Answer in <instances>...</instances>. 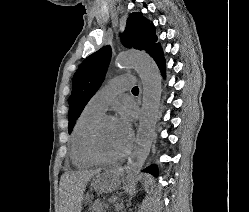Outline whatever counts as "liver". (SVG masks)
Listing matches in <instances>:
<instances>
[{
	"instance_id": "obj_1",
	"label": "liver",
	"mask_w": 249,
	"mask_h": 212,
	"mask_svg": "<svg viewBox=\"0 0 249 212\" xmlns=\"http://www.w3.org/2000/svg\"><path fill=\"white\" fill-rule=\"evenodd\" d=\"M99 170H80V172H68L65 174L67 182V212H81L84 200L85 188L92 178H97L94 188L96 192H114L121 184L124 176L122 168L118 170H105V174H100Z\"/></svg>"
}]
</instances>
